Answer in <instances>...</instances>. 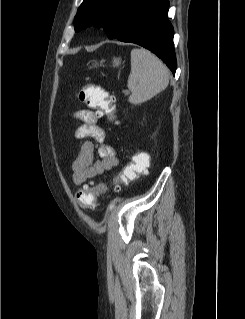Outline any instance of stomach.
Returning <instances> with one entry per match:
<instances>
[{
	"label": "stomach",
	"instance_id": "1",
	"mask_svg": "<svg viewBox=\"0 0 245 319\" xmlns=\"http://www.w3.org/2000/svg\"><path fill=\"white\" fill-rule=\"evenodd\" d=\"M113 64H114V66H118L120 64V59L119 58H114Z\"/></svg>",
	"mask_w": 245,
	"mask_h": 319
}]
</instances>
